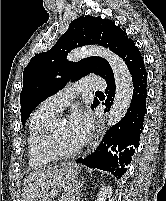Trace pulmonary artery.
Returning <instances> with one entry per match:
<instances>
[{
  "mask_svg": "<svg viewBox=\"0 0 166 201\" xmlns=\"http://www.w3.org/2000/svg\"><path fill=\"white\" fill-rule=\"evenodd\" d=\"M105 86L106 83L104 80L98 77H87L50 96L44 101L42 106L57 113L66 107L80 91L89 89H104Z\"/></svg>",
  "mask_w": 166,
  "mask_h": 201,
  "instance_id": "obj_1",
  "label": "pulmonary artery"
}]
</instances>
